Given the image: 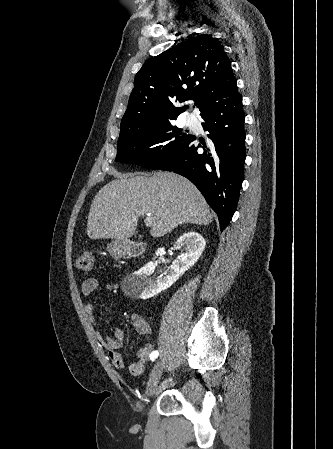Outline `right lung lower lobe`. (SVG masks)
Listing matches in <instances>:
<instances>
[{"label":"right lung lower lobe","mask_w":333,"mask_h":449,"mask_svg":"<svg viewBox=\"0 0 333 449\" xmlns=\"http://www.w3.org/2000/svg\"><path fill=\"white\" fill-rule=\"evenodd\" d=\"M202 126L209 143L195 136L153 169L173 171L188 178L217 213L220 229L229 224L236 208L244 176L245 131L239 93L219 100L203 113ZM203 148V152L197 151Z\"/></svg>","instance_id":"obj_1"}]
</instances>
